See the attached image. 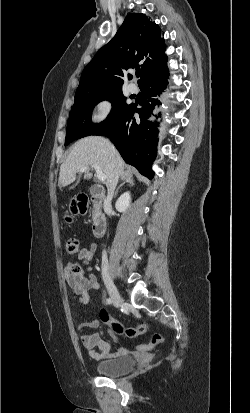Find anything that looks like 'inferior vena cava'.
Instances as JSON below:
<instances>
[{
	"instance_id": "602c4592",
	"label": "inferior vena cava",
	"mask_w": 250,
	"mask_h": 413,
	"mask_svg": "<svg viewBox=\"0 0 250 413\" xmlns=\"http://www.w3.org/2000/svg\"><path fill=\"white\" fill-rule=\"evenodd\" d=\"M113 152L115 153V149H113ZM117 181H118V176H117V174H115L111 185L108 187L107 197H106L105 202H104L105 206L111 204V200H112V197L114 195V190H115ZM107 265H108L107 254H106V251H104L103 254H102V266L104 268H107Z\"/></svg>"
}]
</instances>
